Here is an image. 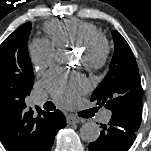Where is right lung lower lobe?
<instances>
[{"label":"right lung lower lobe","mask_w":151,"mask_h":151,"mask_svg":"<svg viewBox=\"0 0 151 151\" xmlns=\"http://www.w3.org/2000/svg\"><path fill=\"white\" fill-rule=\"evenodd\" d=\"M45 113L47 141L44 151H50L53 145L54 136L60 129L66 126V119L60 110Z\"/></svg>","instance_id":"1"}]
</instances>
